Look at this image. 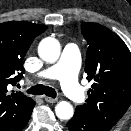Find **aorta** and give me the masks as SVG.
Segmentation results:
<instances>
[{"mask_svg": "<svg viewBox=\"0 0 131 131\" xmlns=\"http://www.w3.org/2000/svg\"><path fill=\"white\" fill-rule=\"evenodd\" d=\"M60 50L59 42L55 38L48 37L40 42L38 53L44 61L54 63L60 56ZM55 113L59 119L68 120L73 116L74 110L69 102L60 101L55 107Z\"/></svg>", "mask_w": 131, "mask_h": 131, "instance_id": "762f6f07", "label": "aorta"}]
</instances>
